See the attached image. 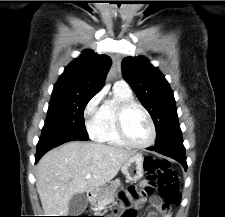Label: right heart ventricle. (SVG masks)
<instances>
[{
	"instance_id": "e07e8e85",
	"label": "right heart ventricle",
	"mask_w": 225,
	"mask_h": 217,
	"mask_svg": "<svg viewBox=\"0 0 225 217\" xmlns=\"http://www.w3.org/2000/svg\"><path fill=\"white\" fill-rule=\"evenodd\" d=\"M114 94V98L101 106V130L97 139L111 147H125L117 132L116 108L120 102L132 99V92L114 87Z\"/></svg>"
}]
</instances>
